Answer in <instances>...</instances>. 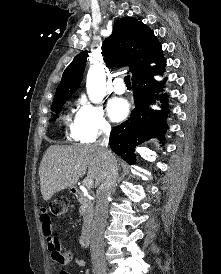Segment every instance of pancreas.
Wrapping results in <instances>:
<instances>
[{
  "mask_svg": "<svg viewBox=\"0 0 221 274\" xmlns=\"http://www.w3.org/2000/svg\"><path fill=\"white\" fill-rule=\"evenodd\" d=\"M91 206H92V200L89 199L88 197H85L82 205L79 208L80 215H83V216L86 215L91 210Z\"/></svg>",
  "mask_w": 221,
  "mask_h": 274,
  "instance_id": "cf45deb5",
  "label": "pancreas"
}]
</instances>
